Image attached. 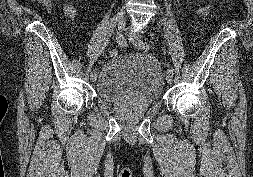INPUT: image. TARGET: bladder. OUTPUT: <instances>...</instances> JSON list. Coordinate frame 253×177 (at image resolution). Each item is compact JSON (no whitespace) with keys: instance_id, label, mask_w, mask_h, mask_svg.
Returning a JSON list of instances; mask_svg holds the SVG:
<instances>
[{"instance_id":"1","label":"bladder","mask_w":253,"mask_h":177,"mask_svg":"<svg viewBox=\"0 0 253 177\" xmlns=\"http://www.w3.org/2000/svg\"><path fill=\"white\" fill-rule=\"evenodd\" d=\"M161 67L153 57L118 54L100 70L95 80L96 95L107 103L134 100L150 107L163 96Z\"/></svg>"}]
</instances>
